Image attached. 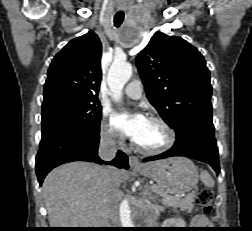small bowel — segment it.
Returning <instances> with one entry per match:
<instances>
[{"label":"small bowel","mask_w":252,"mask_h":231,"mask_svg":"<svg viewBox=\"0 0 252 231\" xmlns=\"http://www.w3.org/2000/svg\"><path fill=\"white\" fill-rule=\"evenodd\" d=\"M209 223V220L206 216L202 215V214H197L193 217L191 224L194 227H201V226H205Z\"/></svg>","instance_id":"c3829d8e"}]
</instances>
